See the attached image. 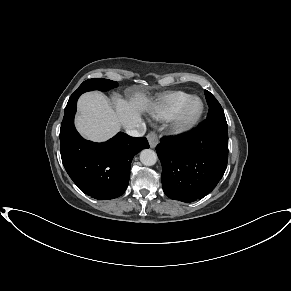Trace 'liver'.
Here are the masks:
<instances>
[{
	"label": "liver",
	"instance_id": "obj_1",
	"mask_svg": "<svg viewBox=\"0 0 291 291\" xmlns=\"http://www.w3.org/2000/svg\"><path fill=\"white\" fill-rule=\"evenodd\" d=\"M151 106V100L139 92L129 101L116 99L115 109L102 94L85 93L78 100L76 128L85 138L103 142L113 137L121 127L135 129L142 122V113L149 111Z\"/></svg>",
	"mask_w": 291,
	"mask_h": 291
}]
</instances>
